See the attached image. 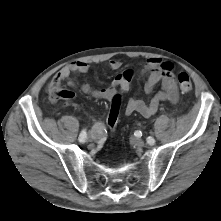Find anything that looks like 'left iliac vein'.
I'll list each match as a JSON object with an SVG mask.
<instances>
[{
	"label": "left iliac vein",
	"mask_w": 221,
	"mask_h": 221,
	"mask_svg": "<svg viewBox=\"0 0 221 221\" xmlns=\"http://www.w3.org/2000/svg\"><path fill=\"white\" fill-rule=\"evenodd\" d=\"M152 141H153V145H154L155 144V139L153 138ZM132 142H133V144H135L137 146H140V147L144 146V144H145L144 140H142L141 138H133Z\"/></svg>",
	"instance_id": "obj_1"
}]
</instances>
